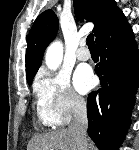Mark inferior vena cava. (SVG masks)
<instances>
[{
  "mask_svg": "<svg viewBox=\"0 0 139 150\" xmlns=\"http://www.w3.org/2000/svg\"><path fill=\"white\" fill-rule=\"evenodd\" d=\"M73 118L68 129L72 133L75 143L76 150H88L87 146V110L86 103L78 98H73Z\"/></svg>",
  "mask_w": 139,
  "mask_h": 150,
  "instance_id": "inferior-vena-cava-1",
  "label": "inferior vena cava"
}]
</instances>
